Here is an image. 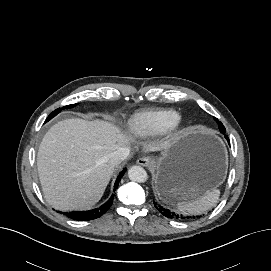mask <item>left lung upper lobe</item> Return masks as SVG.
<instances>
[{
	"mask_svg": "<svg viewBox=\"0 0 271 271\" xmlns=\"http://www.w3.org/2000/svg\"><path fill=\"white\" fill-rule=\"evenodd\" d=\"M222 127H224V126L222 125V123L219 122V129H220L221 132L224 131V129Z\"/></svg>",
	"mask_w": 271,
	"mask_h": 271,
	"instance_id": "left-lung-upper-lobe-1",
	"label": "left lung upper lobe"
}]
</instances>
